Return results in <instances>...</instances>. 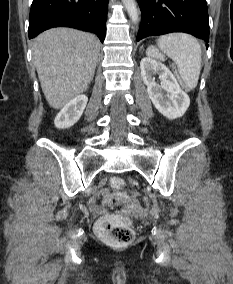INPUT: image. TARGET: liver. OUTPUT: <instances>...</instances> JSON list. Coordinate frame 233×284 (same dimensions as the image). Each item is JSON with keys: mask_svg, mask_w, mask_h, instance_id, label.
Here are the masks:
<instances>
[{"mask_svg": "<svg viewBox=\"0 0 233 284\" xmlns=\"http://www.w3.org/2000/svg\"><path fill=\"white\" fill-rule=\"evenodd\" d=\"M33 60L44 96L60 109L91 83L100 41L95 35L70 28H52L33 41Z\"/></svg>", "mask_w": 233, "mask_h": 284, "instance_id": "1", "label": "liver"}]
</instances>
